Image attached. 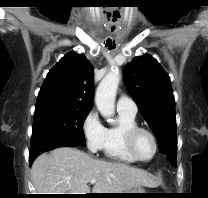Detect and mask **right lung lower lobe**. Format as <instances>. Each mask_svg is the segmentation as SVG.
<instances>
[{"instance_id":"obj_1","label":"right lung lower lobe","mask_w":208,"mask_h":198,"mask_svg":"<svg viewBox=\"0 0 208 198\" xmlns=\"http://www.w3.org/2000/svg\"><path fill=\"white\" fill-rule=\"evenodd\" d=\"M78 143L66 140V139H54L45 143H42L36 147H31L30 155H29V162L30 164L33 160L42 152L53 150L59 147H71V146H78Z\"/></svg>"}]
</instances>
